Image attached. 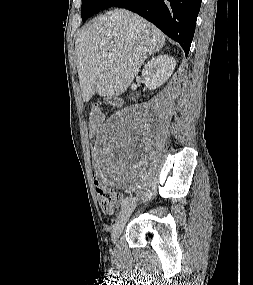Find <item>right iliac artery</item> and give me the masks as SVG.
Listing matches in <instances>:
<instances>
[{
	"instance_id": "1",
	"label": "right iliac artery",
	"mask_w": 253,
	"mask_h": 285,
	"mask_svg": "<svg viewBox=\"0 0 253 285\" xmlns=\"http://www.w3.org/2000/svg\"><path fill=\"white\" fill-rule=\"evenodd\" d=\"M128 203H129V198L127 197L123 200V202L121 204V208L124 209Z\"/></svg>"
}]
</instances>
